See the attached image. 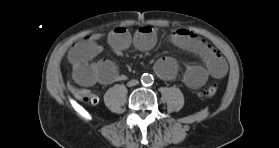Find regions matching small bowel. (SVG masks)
Wrapping results in <instances>:
<instances>
[{
	"instance_id": "obj_1",
	"label": "small bowel",
	"mask_w": 279,
	"mask_h": 148,
	"mask_svg": "<svg viewBox=\"0 0 279 148\" xmlns=\"http://www.w3.org/2000/svg\"><path fill=\"white\" fill-rule=\"evenodd\" d=\"M101 33H94L75 43L68 52V60L73 67V77L77 84L89 87L94 84L110 85L120 79L115 64L107 59L93 62L102 52L99 40ZM173 43L183 49L197 54L204 66L192 64L184 72V82L190 88L201 87L209 77L223 78L227 73V64L221 54L195 33L178 29L171 35ZM157 42L156 31L149 27H140L133 35L125 28L119 27L108 35V43L116 54L126 50L130 45L142 51L150 50ZM155 72L165 80L172 79L177 72V62L171 57H162L155 63Z\"/></svg>"
}]
</instances>
